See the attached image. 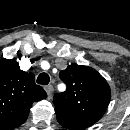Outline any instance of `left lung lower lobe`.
I'll use <instances>...</instances> for the list:
<instances>
[{"label":"left lung lower lobe","mask_w":130,"mask_h":130,"mask_svg":"<svg viewBox=\"0 0 130 130\" xmlns=\"http://www.w3.org/2000/svg\"><path fill=\"white\" fill-rule=\"evenodd\" d=\"M55 112L59 124L69 130H82L94 124L93 121L70 114L63 109L55 108Z\"/></svg>","instance_id":"1"}]
</instances>
